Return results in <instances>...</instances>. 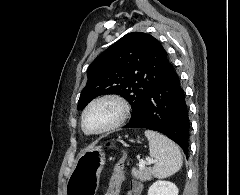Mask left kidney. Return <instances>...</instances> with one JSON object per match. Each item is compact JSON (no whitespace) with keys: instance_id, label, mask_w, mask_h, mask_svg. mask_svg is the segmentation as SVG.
<instances>
[{"instance_id":"5707ae66","label":"left kidney","mask_w":240,"mask_h":195,"mask_svg":"<svg viewBox=\"0 0 240 195\" xmlns=\"http://www.w3.org/2000/svg\"><path fill=\"white\" fill-rule=\"evenodd\" d=\"M148 195H178V187L172 181L157 179L150 185Z\"/></svg>"}]
</instances>
